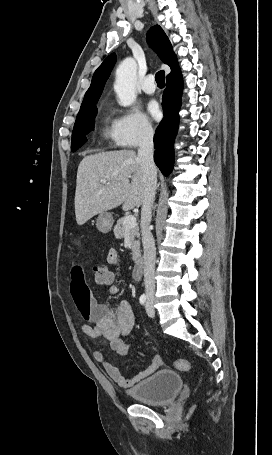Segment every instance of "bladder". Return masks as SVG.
I'll return each mask as SVG.
<instances>
[{"label": "bladder", "mask_w": 272, "mask_h": 455, "mask_svg": "<svg viewBox=\"0 0 272 455\" xmlns=\"http://www.w3.org/2000/svg\"><path fill=\"white\" fill-rule=\"evenodd\" d=\"M182 385V378L177 372L164 369L139 381L129 390V395L141 403L162 405L172 401Z\"/></svg>", "instance_id": "obj_1"}]
</instances>
